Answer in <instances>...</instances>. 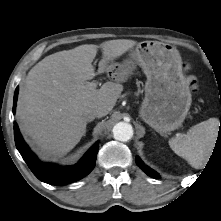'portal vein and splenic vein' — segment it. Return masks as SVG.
<instances>
[{"mask_svg":"<svg viewBox=\"0 0 221 221\" xmlns=\"http://www.w3.org/2000/svg\"><path fill=\"white\" fill-rule=\"evenodd\" d=\"M90 86L96 88V87H97V82H91V83H90Z\"/></svg>","mask_w":221,"mask_h":221,"instance_id":"obj_1","label":"portal vein and splenic vein"}]
</instances>
